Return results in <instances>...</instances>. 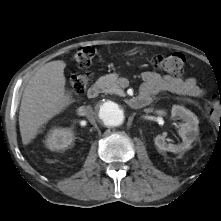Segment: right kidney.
Segmentation results:
<instances>
[{
    "mask_svg": "<svg viewBox=\"0 0 221 221\" xmlns=\"http://www.w3.org/2000/svg\"><path fill=\"white\" fill-rule=\"evenodd\" d=\"M73 140V133L67 128L52 129L47 135L45 144L50 150H60L66 148Z\"/></svg>",
    "mask_w": 221,
    "mask_h": 221,
    "instance_id": "right-kidney-1",
    "label": "right kidney"
}]
</instances>
